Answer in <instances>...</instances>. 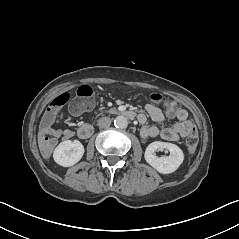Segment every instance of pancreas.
Wrapping results in <instances>:
<instances>
[{
  "instance_id": "1",
  "label": "pancreas",
  "mask_w": 239,
  "mask_h": 239,
  "mask_svg": "<svg viewBox=\"0 0 239 239\" xmlns=\"http://www.w3.org/2000/svg\"><path fill=\"white\" fill-rule=\"evenodd\" d=\"M104 109H107L106 107H100L98 110H95L94 113L97 116L101 111H103Z\"/></svg>"
}]
</instances>
